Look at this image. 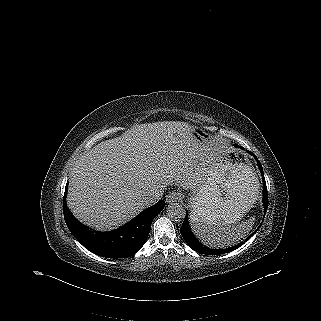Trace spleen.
Instances as JSON below:
<instances>
[{"mask_svg":"<svg viewBox=\"0 0 321 321\" xmlns=\"http://www.w3.org/2000/svg\"><path fill=\"white\" fill-rule=\"evenodd\" d=\"M253 224V217L242 221L236 226L217 222L215 216H212L207 221H201L194 217L192 229L203 244L213 248H224L235 245L246 237L251 231Z\"/></svg>","mask_w":321,"mask_h":321,"instance_id":"1","label":"spleen"}]
</instances>
